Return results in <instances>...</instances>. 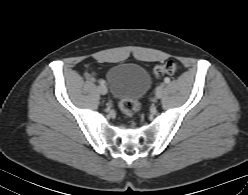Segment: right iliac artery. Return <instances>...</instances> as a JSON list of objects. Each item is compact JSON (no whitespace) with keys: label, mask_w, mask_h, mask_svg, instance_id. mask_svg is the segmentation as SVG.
Returning a JSON list of instances; mask_svg holds the SVG:
<instances>
[{"label":"right iliac artery","mask_w":248,"mask_h":195,"mask_svg":"<svg viewBox=\"0 0 248 195\" xmlns=\"http://www.w3.org/2000/svg\"><path fill=\"white\" fill-rule=\"evenodd\" d=\"M105 82L103 80L100 81V84L103 85Z\"/></svg>","instance_id":"1"}]
</instances>
